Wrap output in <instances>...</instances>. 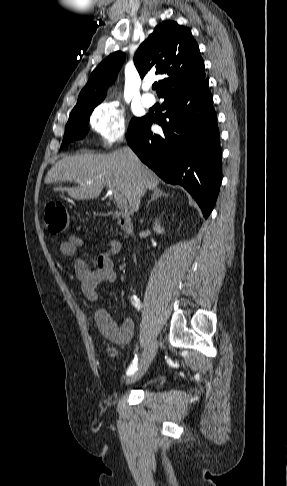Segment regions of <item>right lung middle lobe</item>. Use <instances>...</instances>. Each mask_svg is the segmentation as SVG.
Instances as JSON below:
<instances>
[{"instance_id":"obj_1","label":"right lung middle lobe","mask_w":287,"mask_h":486,"mask_svg":"<svg viewBox=\"0 0 287 486\" xmlns=\"http://www.w3.org/2000/svg\"><path fill=\"white\" fill-rule=\"evenodd\" d=\"M94 107L95 106L79 113L70 114L69 120L65 127V134L61 147L74 140L81 139L84 136L86 133L87 124L89 122V117ZM141 119L142 118H133L131 120L127 135L140 123Z\"/></svg>"}]
</instances>
